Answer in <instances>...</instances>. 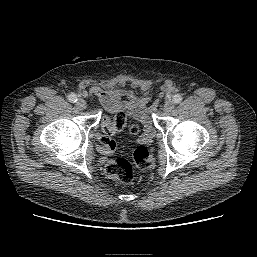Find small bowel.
<instances>
[{
    "label": "small bowel",
    "mask_w": 257,
    "mask_h": 257,
    "mask_svg": "<svg viewBox=\"0 0 257 257\" xmlns=\"http://www.w3.org/2000/svg\"><path fill=\"white\" fill-rule=\"evenodd\" d=\"M171 84L166 83L164 89L168 90ZM89 95L99 99L102 106L111 114L123 112L131 125L141 123L143 132L137 137L142 144H149L155 136V127L151 112L146 106V101L130 89H115L105 91L97 86L89 88ZM126 98V100H123Z\"/></svg>",
    "instance_id": "c3829d8e"
}]
</instances>
